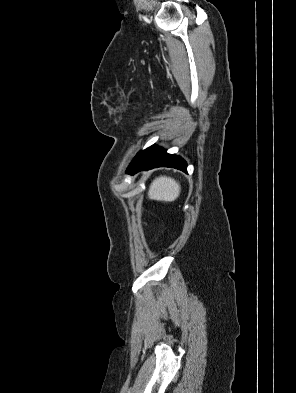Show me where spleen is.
Returning a JSON list of instances; mask_svg holds the SVG:
<instances>
[{
	"mask_svg": "<svg viewBox=\"0 0 296 393\" xmlns=\"http://www.w3.org/2000/svg\"><path fill=\"white\" fill-rule=\"evenodd\" d=\"M181 192V186L171 177L160 176L153 180L149 187L148 197L152 200L172 202Z\"/></svg>",
	"mask_w": 296,
	"mask_h": 393,
	"instance_id": "obj_1",
	"label": "spleen"
}]
</instances>
